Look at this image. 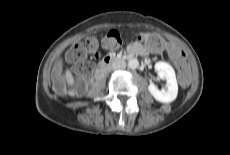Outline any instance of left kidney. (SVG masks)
Listing matches in <instances>:
<instances>
[{
	"label": "left kidney",
	"mask_w": 230,
	"mask_h": 155,
	"mask_svg": "<svg viewBox=\"0 0 230 155\" xmlns=\"http://www.w3.org/2000/svg\"><path fill=\"white\" fill-rule=\"evenodd\" d=\"M155 69L159 77L166 80L167 90H159L154 83H150L148 86L149 92L159 102H173L178 94V84L173 67L166 62L159 61L155 64Z\"/></svg>",
	"instance_id": "obj_1"
}]
</instances>
